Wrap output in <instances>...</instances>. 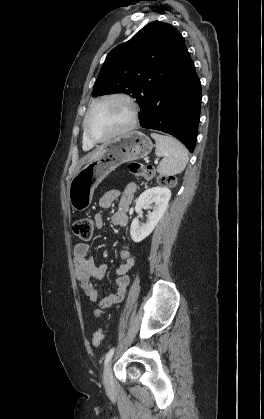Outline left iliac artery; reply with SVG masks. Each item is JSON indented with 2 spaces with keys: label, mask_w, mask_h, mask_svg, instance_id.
Instances as JSON below:
<instances>
[{
  "label": "left iliac artery",
  "mask_w": 264,
  "mask_h": 419,
  "mask_svg": "<svg viewBox=\"0 0 264 419\" xmlns=\"http://www.w3.org/2000/svg\"><path fill=\"white\" fill-rule=\"evenodd\" d=\"M114 350H115V348H112V349H110L109 351H108V353L106 354V357H105V362H104V365L106 366L107 365V363L110 361V359L112 358V356H113V354H114Z\"/></svg>",
  "instance_id": "1"
}]
</instances>
